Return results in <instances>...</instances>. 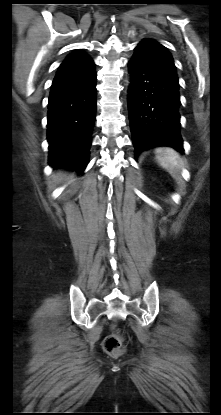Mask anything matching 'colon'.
Listing matches in <instances>:
<instances>
[{"label": "colon", "mask_w": 221, "mask_h": 415, "mask_svg": "<svg viewBox=\"0 0 221 415\" xmlns=\"http://www.w3.org/2000/svg\"><path fill=\"white\" fill-rule=\"evenodd\" d=\"M121 346H122V339L116 333H113V334L107 336L103 341L104 350L107 353L112 354V355H116V354L120 353Z\"/></svg>", "instance_id": "obj_1"}]
</instances>
